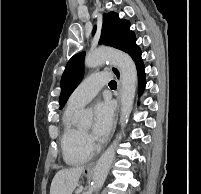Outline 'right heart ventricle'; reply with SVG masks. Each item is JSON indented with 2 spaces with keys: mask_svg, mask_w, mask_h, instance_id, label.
I'll list each match as a JSON object with an SVG mask.
<instances>
[{
  "mask_svg": "<svg viewBox=\"0 0 201 194\" xmlns=\"http://www.w3.org/2000/svg\"><path fill=\"white\" fill-rule=\"evenodd\" d=\"M77 109L68 105L62 117L61 148L65 162L70 165L82 164L92 156V149L85 142L84 132L73 122Z\"/></svg>",
  "mask_w": 201,
  "mask_h": 194,
  "instance_id": "right-heart-ventricle-1",
  "label": "right heart ventricle"
}]
</instances>
